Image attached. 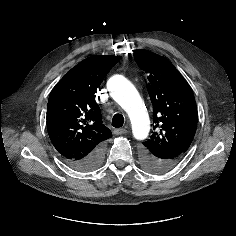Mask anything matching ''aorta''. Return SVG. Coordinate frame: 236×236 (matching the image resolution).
I'll use <instances>...</instances> for the list:
<instances>
[{"instance_id": "1", "label": "aorta", "mask_w": 236, "mask_h": 236, "mask_svg": "<svg viewBox=\"0 0 236 236\" xmlns=\"http://www.w3.org/2000/svg\"><path fill=\"white\" fill-rule=\"evenodd\" d=\"M112 98L125 110L135 139L144 140L150 130L145 104L134 85L122 75H114L107 82Z\"/></svg>"}]
</instances>
